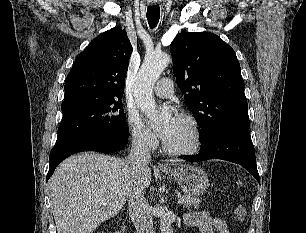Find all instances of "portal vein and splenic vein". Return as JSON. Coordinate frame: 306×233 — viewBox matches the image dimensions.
Listing matches in <instances>:
<instances>
[{
  "label": "portal vein and splenic vein",
  "instance_id": "18ae733b",
  "mask_svg": "<svg viewBox=\"0 0 306 233\" xmlns=\"http://www.w3.org/2000/svg\"><path fill=\"white\" fill-rule=\"evenodd\" d=\"M183 203V199L179 198L178 199V204H182Z\"/></svg>",
  "mask_w": 306,
  "mask_h": 233
}]
</instances>
